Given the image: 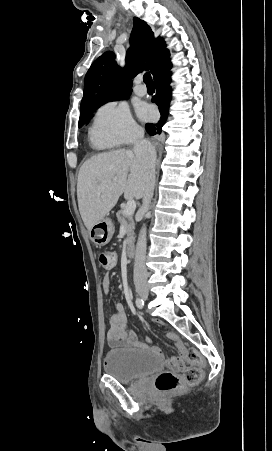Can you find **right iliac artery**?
Segmentation results:
<instances>
[{"mask_svg": "<svg viewBox=\"0 0 272 451\" xmlns=\"http://www.w3.org/2000/svg\"><path fill=\"white\" fill-rule=\"evenodd\" d=\"M135 303H136V306H137L139 309H142L143 306H144V301H143V299H141V298H139V297L136 298Z\"/></svg>", "mask_w": 272, "mask_h": 451, "instance_id": "right-iliac-artery-1", "label": "right iliac artery"}]
</instances>
